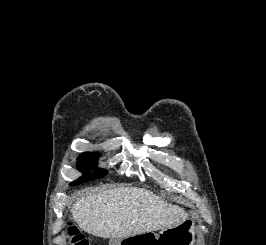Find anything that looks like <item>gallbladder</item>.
<instances>
[{
    "label": "gallbladder",
    "mask_w": 266,
    "mask_h": 245,
    "mask_svg": "<svg viewBox=\"0 0 266 245\" xmlns=\"http://www.w3.org/2000/svg\"><path fill=\"white\" fill-rule=\"evenodd\" d=\"M114 239H110V245H113Z\"/></svg>",
    "instance_id": "gallbladder-1"
}]
</instances>
